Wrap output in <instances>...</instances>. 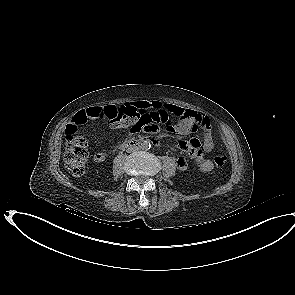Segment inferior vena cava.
Returning <instances> with one entry per match:
<instances>
[{"label": "inferior vena cava", "instance_id": "1", "mask_svg": "<svg viewBox=\"0 0 295 295\" xmlns=\"http://www.w3.org/2000/svg\"><path fill=\"white\" fill-rule=\"evenodd\" d=\"M138 148L135 146V147H129L127 149V152L130 153V152H133V151H136Z\"/></svg>", "mask_w": 295, "mask_h": 295}]
</instances>
